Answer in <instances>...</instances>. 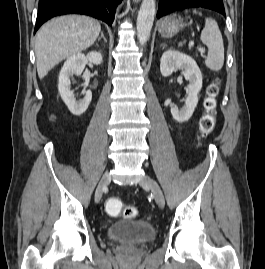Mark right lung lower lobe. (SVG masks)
Segmentation results:
<instances>
[{
  "mask_svg": "<svg viewBox=\"0 0 265 269\" xmlns=\"http://www.w3.org/2000/svg\"><path fill=\"white\" fill-rule=\"evenodd\" d=\"M122 0H39L34 33L47 20L63 14H86L111 25L116 7Z\"/></svg>",
  "mask_w": 265,
  "mask_h": 269,
  "instance_id": "right-lung-lower-lobe-1",
  "label": "right lung lower lobe"
}]
</instances>
